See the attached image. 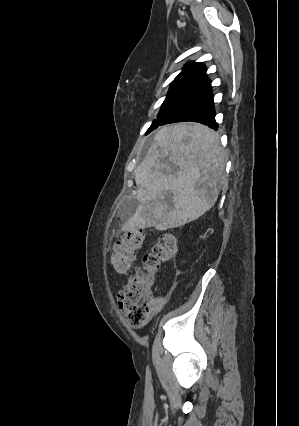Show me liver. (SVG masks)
<instances>
[{
  "instance_id": "6515ba94",
  "label": "liver",
  "mask_w": 299,
  "mask_h": 426,
  "mask_svg": "<svg viewBox=\"0 0 299 426\" xmlns=\"http://www.w3.org/2000/svg\"><path fill=\"white\" fill-rule=\"evenodd\" d=\"M225 163L219 137L207 126L161 127L134 171L139 205L122 230H167L198 219L218 198Z\"/></svg>"
}]
</instances>
